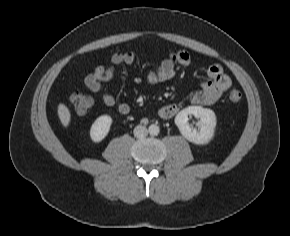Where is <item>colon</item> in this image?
<instances>
[{
    "label": "colon",
    "mask_w": 290,
    "mask_h": 236,
    "mask_svg": "<svg viewBox=\"0 0 290 236\" xmlns=\"http://www.w3.org/2000/svg\"><path fill=\"white\" fill-rule=\"evenodd\" d=\"M229 99L232 103H239L242 100V94L241 92L234 90L230 93ZM70 102L76 112L82 114L91 108L93 99L86 94L74 93L70 96Z\"/></svg>",
    "instance_id": "5ec220e1"
}]
</instances>
